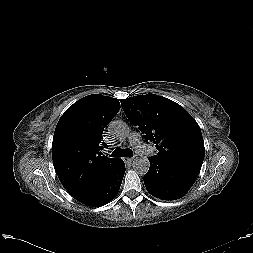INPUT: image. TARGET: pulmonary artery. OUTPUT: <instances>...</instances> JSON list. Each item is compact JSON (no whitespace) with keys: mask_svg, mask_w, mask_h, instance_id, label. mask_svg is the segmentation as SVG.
Returning <instances> with one entry per match:
<instances>
[{"mask_svg":"<svg viewBox=\"0 0 253 253\" xmlns=\"http://www.w3.org/2000/svg\"><path fill=\"white\" fill-rule=\"evenodd\" d=\"M130 142L142 154H144V153H146V152L149 151V147L141 141V136L138 133H136V132H133L131 134V136H130Z\"/></svg>","mask_w":253,"mask_h":253,"instance_id":"obj_1","label":"pulmonary artery"}]
</instances>
